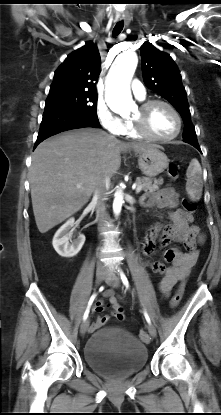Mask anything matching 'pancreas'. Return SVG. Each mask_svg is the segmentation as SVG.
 <instances>
[{"mask_svg":"<svg viewBox=\"0 0 221 415\" xmlns=\"http://www.w3.org/2000/svg\"><path fill=\"white\" fill-rule=\"evenodd\" d=\"M137 186H141V190L143 191H156L159 189V186L163 184V179H152L148 177L137 178L136 180Z\"/></svg>","mask_w":221,"mask_h":415,"instance_id":"obj_1","label":"pancreas"}]
</instances>
